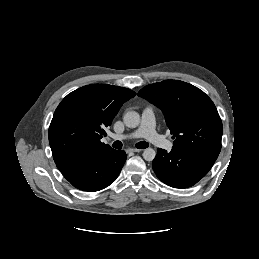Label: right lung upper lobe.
Here are the masks:
<instances>
[{
  "mask_svg": "<svg viewBox=\"0 0 259 259\" xmlns=\"http://www.w3.org/2000/svg\"><path fill=\"white\" fill-rule=\"evenodd\" d=\"M136 93L106 84H92L68 94L58 105L49 127L56 164L76 162L113 150L100 141L119 109Z\"/></svg>",
  "mask_w": 259,
  "mask_h": 259,
  "instance_id": "1",
  "label": "right lung upper lobe"
}]
</instances>
